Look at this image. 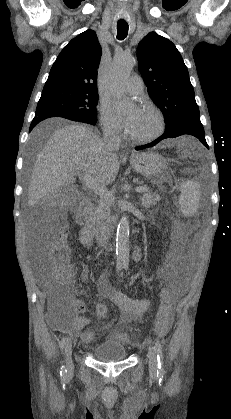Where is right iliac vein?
<instances>
[{
  "mask_svg": "<svg viewBox=\"0 0 231 419\" xmlns=\"http://www.w3.org/2000/svg\"><path fill=\"white\" fill-rule=\"evenodd\" d=\"M65 358H66V365L68 370L73 369V361H72V341L68 339L65 344Z\"/></svg>",
  "mask_w": 231,
  "mask_h": 419,
  "instance_id": "right-iliac-vein-1",
  "label": "right iliac vein"
}]
</instances>
